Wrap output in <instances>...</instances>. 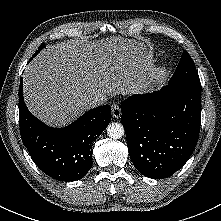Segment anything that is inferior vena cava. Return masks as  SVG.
I'll use <instances>...</instances> for the list:
<instances>
[{"label": "inferior vena cava", "mask_w": 221, "mask_h": 221, "mask_svg": "<svg viewBox=\"0 0 221 221\" xmlns=\"http://www.w3.org/2000/svg\"><path fill=\"white\" fill-rule=\"evenodd\" d=\"M104 101L105 100L99 96H93L87 100V103L90 107H95V106L102 105Z\"/></svg>", "instance_id": "inferior-vena-cava-1"}]
</instances>
